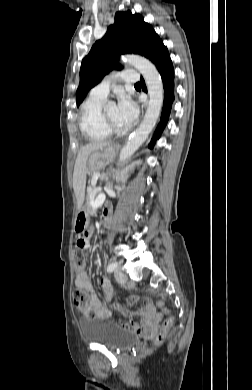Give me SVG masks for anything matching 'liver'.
Wrapping results in <instances>:
<instances>
[{"label":"liver","mask_w":252,"mask_h":390,"mask_svg":"<svg viewBox=\"0 0 252 390\" xmlns=\"http://www.w3.org/2000/svg\"><path fill=\"white\" fill-rule=\"evenodd\" d=\"M109 145L108 142H92L83 146L77 155L73 173V188L80 205L85 194L88 156L92 152L102 150Z\"/></svg>","instance_id":"6515ba94"}]
</instances>
